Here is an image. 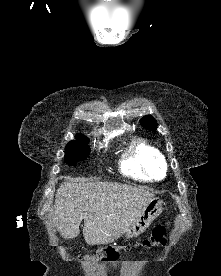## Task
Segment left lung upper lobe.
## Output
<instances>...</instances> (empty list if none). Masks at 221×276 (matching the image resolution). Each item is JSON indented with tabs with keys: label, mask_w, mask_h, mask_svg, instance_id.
I'll list each match as a JSON object with an SVG mask.
<instances>
[{
	"label": "left lung upper lobe",
	"mask_w": 221,
	"mask_h": 276,
	"mask_svg": "<svg viewBox=\"0 0 221 276\" xmlns=\"http://www.w3.org/2000/svg\"><path fill=\"white\" fill-rule=\"evenodd\" d=\"M140 123L143 127L150 131L157 130V122L151 115H146L140 119Z\"/></svg>",
	"instance_id": "left-lung-upper-lobe-1"
}]
</instances>
